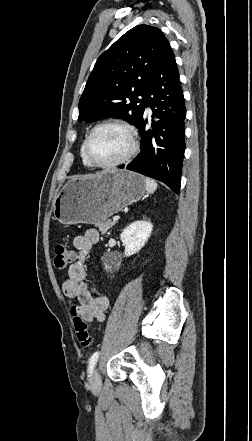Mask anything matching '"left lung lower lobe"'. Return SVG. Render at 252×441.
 <instances>
[{
    "label": "left lung lower lobe",
    "instance_id": "left-lung-lower-lobe-1",
    "mask_svg": "<svg viewBox=\"0 0 252 441\" xmlns=\"http://www.w3.org/2000/svg\"><path fill=\"white\" fill-rule=\"evenodd\" d=\"M153 111L152 130L143 117L138 126L141 151L126 168L169 186L179 193L185 150L184 120L186 109L180 87L179 73L170 44L166 41L160 51L152 79L146 92V105Z\"/></svg>",
    "mask_w": 252,
    "mask_h": 441
}]
</instances>
